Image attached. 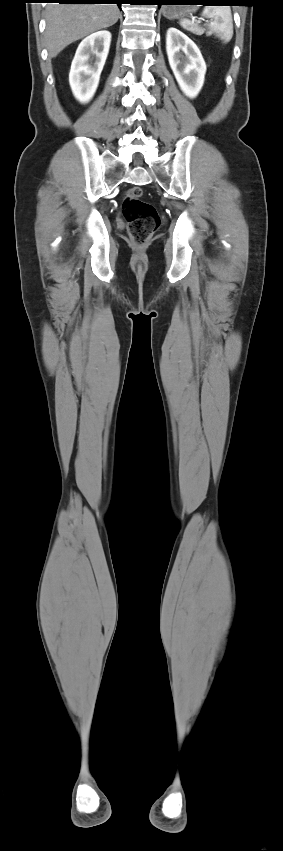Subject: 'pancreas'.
<instances>
[{"mask_svg":"<svg viewBox=\"0 0 283 851\" xmlns=\"http://www.w3.org/2000/svg\"><path fill=\"white\" fill-rule=\"evenodd\" d=\"M202 33H203V30H202V29H199V30H197V32H196V34H197V35H201Z\"/></svg>","mask_w":283,"mask_h":851,"instance_id":"cf45deb5","label":"pancreas"}]
</instances>
